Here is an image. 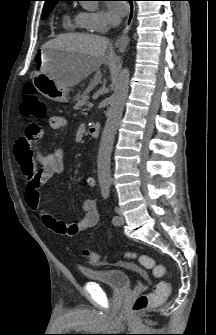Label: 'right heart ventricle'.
I'll return each mask as SVG.
<instances>
[{
  "instance_id": "e07e8e85",
  "label": "right heart ventricle",
  "mask_w": 216,
  "mask_h": 335,
  "mask_svg": "<svg viewBox=\"0 0 216 335\" xmlns=\"http://www.w3.org/2000/svg\"><path fill=\"white\" fill-rule=\"evenodd\" d=\"M63 26L67 31L90 30L81 12H77L74 15L66 14L63 18Z\"/></svg>"
}]
</instances>
